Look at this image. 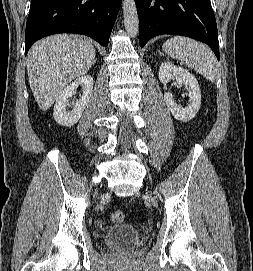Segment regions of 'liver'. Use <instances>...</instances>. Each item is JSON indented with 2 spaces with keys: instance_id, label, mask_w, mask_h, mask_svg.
Returning a JSON list of instances; mask_svg holds the SVG:
<instances>
[{
  "instance_id": "liver-1",
  "label": "liver",
  "mask_w": 253,
  "mask_h": 271,
  "mask_svg": "<svg viewBox=\"0 0 253 271\" xmlns=\"http://www.w3.org/2000/svg\"><path fill=\"white\" fill-rule=\"evenodd\" d=\"M94 62L92 43L76 35L57 34L35 43L27 55V72L38 106L48 110L66 85L85 75Z\"/></svg>"
}]
</instances>
